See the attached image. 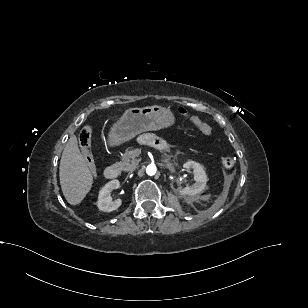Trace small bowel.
Here are the masks:
<instances>
[{"label": "small bowel", "mask_w": 308, "mask_h": 308, "mask_svg": "<svg viewBox=\"0 0 308 308\" xmlns=\"http://www.w3.org/2000/svg\"><path fill=\"white\" fill-rule=\"evenodd\" d=\"M139 142L145 145H151L159 148L164 146V141L153 133H144L140 135Z\"/></svg>", "instance_id": "1"}]
</instances>
